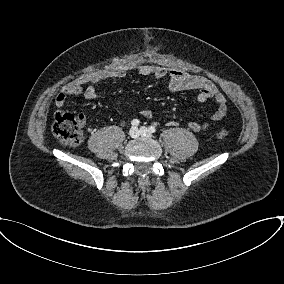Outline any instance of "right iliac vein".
Masks as SVG:
<instances>
[{"instance_id": "right-iliac-vein-1", "label": "right iliac vein", "mask_w": 284, "mask_h": 284, "mask_svg": "<svg viewBox=\"0 0 284 284\" xmlns=\"http://www.w3.org/2000/svg\"><path fill=\"white\" fill-rule=\"evenodd\" d=\"M129 135L131 138H137L139 136V131L136 127H132L129 131Z\"/></svg>"}]
</instances>
